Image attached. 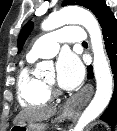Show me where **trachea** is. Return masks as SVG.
Listing matches in <instances>:
<instances>
[{
    "label": "trachea",
    "instance_id": "3493384b",
    "mask_svg": "<svg viewBox=\"0 0 117 131\" xmlns=\"http://www.w3.org/2000/svg\"><path fill=\"white\" fill-rule=\"evenodd\" d=\"M82 44H87L86 42H83Z\"/></svg>",
    "mask_w": 117,
    "mask_h": 131
}]
</instances>
